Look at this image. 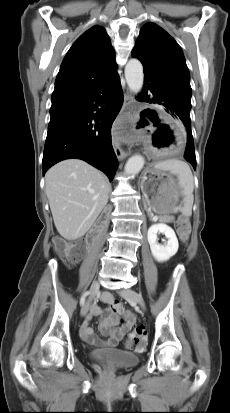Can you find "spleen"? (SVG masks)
Returning <instances> with one entry per match:
<instances>
[{
	"mask_svg": "<svg viewBox=\"0 0 230 413\" xmlns=\"http://www.w3.org/2000/svg\"><path fill=\"white\" fill-rule=\"evenodd\" d=\"M154 168L161 171H168L177 176L178 184L182 189L183 195V207L181 208V212L186 217L191 216L194 200V179L188 164L182 160L169 159L157 163Z\"/></svg>",
	"mask_w": 230,
	"mask_h": 413,
	"instance_id": "1",
	"label": "spleen"
}]
</instances>
